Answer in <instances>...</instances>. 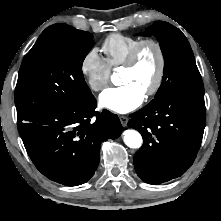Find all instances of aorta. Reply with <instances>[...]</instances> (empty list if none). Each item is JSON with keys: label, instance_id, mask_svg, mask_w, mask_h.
<instances>
[{"label": "aorta", "instance_id": "obj_1", "mask_svg": "<svg viewBox=\"0 0 221 221\" xmlns=\"http://www.w3.org/2000/svg\"><path fill=\"white\" fill-rule=\"evenodd\" d=\"M112 81L115 83L116 75H112ZM123 141L130 148H140L142 145V136L141 134L133 129L125 130L123 133Z\"/></svg>", "mask_w": 221, "mask_h": 221}]
</instances>
